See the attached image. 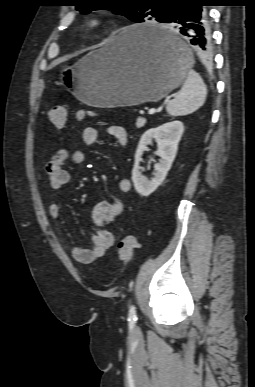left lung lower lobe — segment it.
<instances>
[{
    "label": "left lung lower lobe",
    "mask_w": 255,
    "mask_h": 387,
    "mask_svg": "<svg viewBox=\"0 0 255 387\" xmlns=\"http://www.w3.org/2000/svg\"><path fill=\"white\" fill-rule=\"evenodd\" d=\"M209 0H181L171 2L161 23L181 25L180 33L187 36L196 52L202 58H210L212 40L208 26V14L204 6H210ZM145 40L159 46L167 53H178L179 47L170 34L163 30L144 33Z\"/></svg>",
    "instance_id": "obj_1"
}]
</instances>
